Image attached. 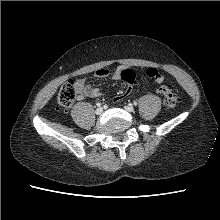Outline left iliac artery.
Instances as JSON below:
<instances>
[{
  "mask_svg": "<svg viewBox=\"0 0 220 220\" xmlns=\"http://www.w3.org/2000/svg\"><path fill=\"white\" fill-rule=\"evenodd\" d=\"M134 105H137L138 103H137V101H134V103H133Z\"/></svg>",
  "mask_w": 220,
  "mask_h": 220,
  "instance_id": "44dca946",
  "label": "left iliac artery"
}]
</instances>
